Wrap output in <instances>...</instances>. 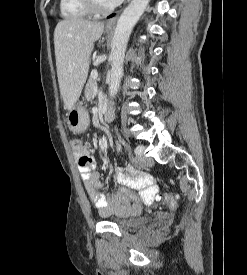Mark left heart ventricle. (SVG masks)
<instances>
[{
  "label": "left heart ventricle",
  "mask_w": 247,
  "mask_h": 275,
  "mask_svg": "<svg viewBox=\"0 0 247 275\" xmlns=\"http://www.w3.org/2000/svg\"><path fill=\"white\" fill-rule=\"evenodd\" d=\"M97 3L104 8L111 7L113 5L112 0H96Z\"/></svg>",
  "instance_id": "b2bd125f"
}]
</instances>
